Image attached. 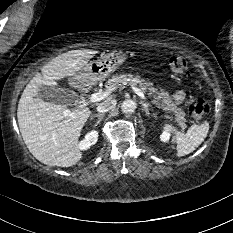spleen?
<instances>
[{
  "instance_id": "1",
  "label": "spleen",
  "mask_w": 233,
  "mask_h": 233,
  "mask_svg": "<svg viewBox=\"0 0 233 233\" xmlns=\"http://www.w3.org/2000/svg\"><path fill=\"white\" fill-rule=\"evenodd\" d=\"M209 131V123L208 121H204L202 124H194L192 125L187 133H183L177 131L173 126L165 124L163 126V133H173V138L177 143L176 155L178 157L185 156L191 152H193L206 138L207 133Z\"/></svg>"
}]
</instances>
